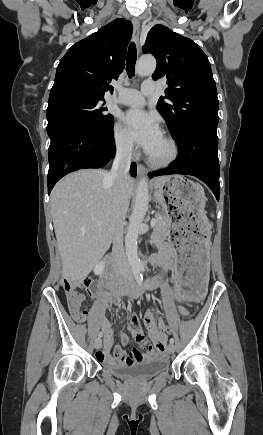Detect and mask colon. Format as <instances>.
Wrapping results in <instances>:
<instances>
[{
	"mask_svg": "<svg viewBox=\"0 0 263 435\" xmlns=\"http://www.w3.org/2000/svg\"><path fill=\"white\" fill-rule=\"evenodd\" d=\"M63 287L70 313L75 320L82 322L86 316V312L83 308L85 296L82 291L86 290L89 293H92L94 288H90V283L86 279L67 280L64 282ZM171 326L172 324H166L165 332H167L168 335L172 334V331L170 330L172 329Z\"/></svg>",
	"mask_w": 263,
	"mask_h": 435,
	"instance_id": "1",
	"label": "colon"
}]
</instances>
